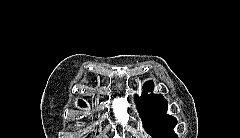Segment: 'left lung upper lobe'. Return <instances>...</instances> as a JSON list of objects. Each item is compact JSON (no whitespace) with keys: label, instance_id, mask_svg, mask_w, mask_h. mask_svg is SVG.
I'll use <instances>...</instances> for the list:
<instances>
[{"label":"left lung upper lobe","instance_id":"1","mask_svg":"<svg viewBox=\"0 0 240 138\" xmlns=\"http://www.w3.org/2000/svg\"><path fill=\"white\" fill-rule=\"evenodd\" d=\"M153 90V82L148 81L141 97L135 96L139 115L144 128L153 138H178L173 128L177 124L176 118L167 115L168 102L161 94H148Z\"/></svg>","mask_w":240,"mask_h":138}]
</instances>
